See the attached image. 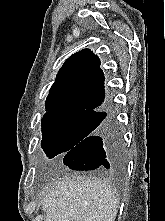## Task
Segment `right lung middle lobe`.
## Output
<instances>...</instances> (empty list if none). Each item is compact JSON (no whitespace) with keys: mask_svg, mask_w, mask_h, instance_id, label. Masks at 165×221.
Returning <instances> with one entry per match:
<instances>
[{"mask_svg":"<svg viewBox=\"0 0 165 221\" xmlns=\"http://www.w3.org/2000/svg\"><path fill=\"white\" fill-rule=\"evenodd\" d=\"M101 112H47L42 118V148L49 158L65 154L103 122Z\"/></svg>","mask_w":165,"mask_h":221,"instance_id":"obj_1","label":"right lung middle lobe"}]
</instances>
